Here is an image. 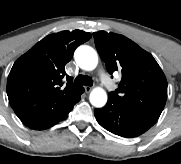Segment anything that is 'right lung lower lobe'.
Instances as JSON below:
<instances>
[{
  "mask_svg": "<svg viewBox=\"0 0 181 164\" xmlns=\"http://www.w3.org/2000/svg\"><path fill=\"white\" fill-rule=\"evenodd\" d=\"M83 92H84V90H83ZM82 93H80L70 105H68L67 107H65L58 113H56L55 115L23 116V117H19V118L27 127L31 128V129H35V130L47 129V128L57 124L59 121L64 120L68 116V113L72 110L75 103H77L80 100V96Z\"/></svg>",
  "mask_w": 181,
  "mask_h": 164,
  "instance_id": "1",
  "label": "right lung lower lobe"
}]
</instances>
